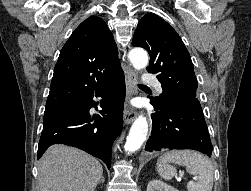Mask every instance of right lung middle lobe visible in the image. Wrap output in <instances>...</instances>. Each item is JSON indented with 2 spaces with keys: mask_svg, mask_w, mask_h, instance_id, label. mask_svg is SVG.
<instances>
[{
  "mask_svg": "<svg viewBox=\"0 0 251 191\" xmlns=\"http://www.w3.org/2000/svg\"><path fill=\"white\" fill-rule=\"evenodd\" d=\"M60 109H62V108H60ZM56 110H59V109H56ZM56 110H45L44 114L50 113V112H53V111H56Z\"/></svg>",
  "mask_w": 251,
  "mask_h": 191,
  "instance_id": "dd1d6c3e",
  "label": "right lung middle lobe"
}]
</instances>
